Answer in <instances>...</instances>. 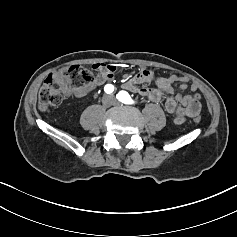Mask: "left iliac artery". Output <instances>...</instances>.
<instances>
[{
    "label": "left iliac artery",
    "mask_w": 237,
    "mask_h": 237,
    "mask_svg": "<svg viewBox=\"0 0 237 237\" xmlns=\"http://www.w3.org/2000/svg\"><path fill=\"white\" fill-rule=\"evenodd\" d=\"M116 98L121 101L124 104H133L134 101L126 91H120L117 95Z\"/></svg>",
    "instance_id": "44dca946"
}]
</instances>
